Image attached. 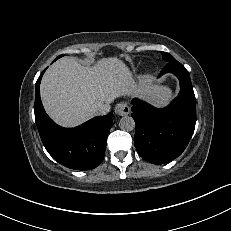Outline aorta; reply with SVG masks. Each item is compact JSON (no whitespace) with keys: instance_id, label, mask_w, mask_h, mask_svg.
Segmentation results:
<instances>
[{"instance_id":"aorta-1","label":"aorta","mask_w":231,"mask_h":231,"mask_svg":"<svg viewBox=\"0 0 231 231\" xmlns=\"http://www.w3.org/2000/svg\"><path fill=\"white\" fill-rule=\"evenodd\" d=\"M119 125L124 131H132L135 128V121L130 116H124L121 118Z\"/></svg>"}]
</instances>
